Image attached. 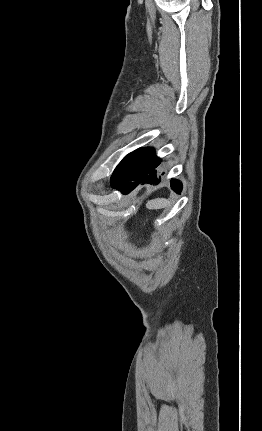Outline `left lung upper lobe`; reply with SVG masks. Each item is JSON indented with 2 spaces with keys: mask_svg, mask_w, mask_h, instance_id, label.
Masks as SVG:
<instances>
[{
  "mask_svg": "<svg viewBox=\"0 0 262 431\" xmlns=\"http://www.w3.org/2000/svg\"><path fill=\"white\" fill-rule=\"evenodd\" d=\"M138 150L128 154L116 167L111 177V186L119 188L125 185L131 177V165Z\"/></svg>",
  "mask_w": 262,
  "mask_h": 431,
  "instance_id": "1",
  "label": "left lung upper lobe"
}]
</instances>
